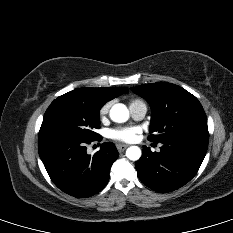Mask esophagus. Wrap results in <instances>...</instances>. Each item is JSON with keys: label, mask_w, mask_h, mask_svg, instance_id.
Segmentation results:
<instances>
[{"label": "esophagus", "mask_w": 233, "mask_h": 233, "mask_svg": "<svg viewBox=\"0 0 233 233\" xmlns=\"http://www.w3.org/2000/svg\"><path fill=\"white\" fill-rule=\"evenodd\" d=\"M128 146L124 144H118L117 149L119 152H123Z\"/></svg>", "instance_id": "34e87169"}]
</instances>
